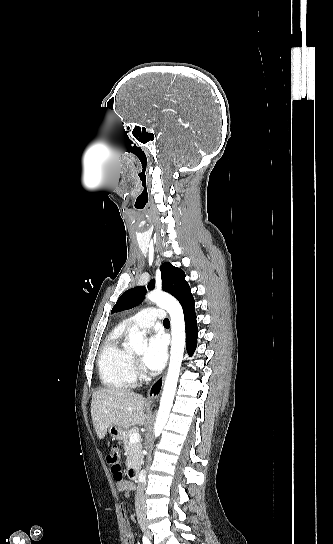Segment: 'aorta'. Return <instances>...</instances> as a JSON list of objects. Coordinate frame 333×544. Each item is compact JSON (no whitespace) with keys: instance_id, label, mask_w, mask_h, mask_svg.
<instances>
[{"instance_id":"obj_1","label":"aorta","mask_w":333,"mask_h":544,"mask_svg":"<svg viewBox=\"0 0 333 544\" xmlns=\"http://www.w3.org/2000/svg\"><path fill=\"white\" fill-rule=\"evenodd\" d=\"M147 298L165 309L171 318L170 362L154 428L155 436L158 437L167 423L177 388L185 348V322L182 307L173 296L154 290L147 294ZM129 345L136 351H144L146 347L143 343V333L132 329L129 334Z\"/></svg>"}]
</instances>
